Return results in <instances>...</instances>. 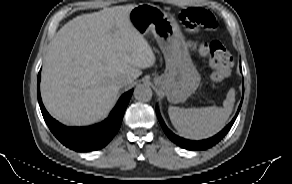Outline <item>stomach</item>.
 Returning <instances> with one entry per match:
<instances>
[{
    "mask_svg": "<svg viewBox=\"0 0 292 184\" xmlns=\"http://www.w3.org/2000/svg\"><path fill=\"white\" fill-rule=\"evenodd\" d=\"M133 27L141 34L152 31L157 41L169 51L166 55V71L156 80L172 103L183 102L197 88L199 74L185 52L175 44L178 26L154 6L142 4L129 13Z\"/></svg>",
    "mask_w": 292,
    "mask_h": 184,
    "instance_id": "1",
    "label": "stomach"
}]
</instances>
